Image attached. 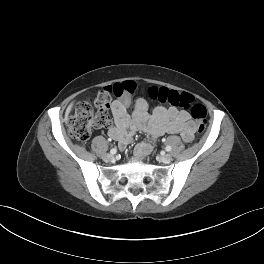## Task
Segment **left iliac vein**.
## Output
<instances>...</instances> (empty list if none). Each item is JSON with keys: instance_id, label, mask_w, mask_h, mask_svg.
Here are the masks:
<instances>
[{"instance_id": "1", "label": "left iliac vein", "mask_w": 264, "mask_h": 264, "mask_svg": "<svg viewBox=\"0 0 264 264\" xmlns=\"http://www.w3.org/2000/svg\"><path fill=\"white\" fill-rule=\"evenodd\" d=\"M172 155L171 154H164L162 156H160V161L165 163V164H168L172 161Z\"/></svg>"}]
</instances>
